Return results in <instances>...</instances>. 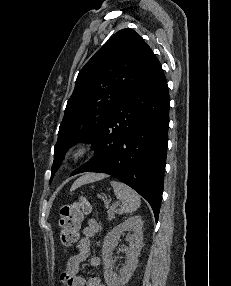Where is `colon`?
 <instances>
[{"label": "colon", "instance_id": "1", "mask_svg": "<svg viewBox=\"0 0 231 286\" xmlns=\"http://www.w3.org/2000/svg\"><path fill=\"white\" fill-rule=\"evenodd\" d=\"M89 211L90 204L84 197L61 208L59 238L65 248L72 247L78 241L80 224Z\"/></svg>", "mask_w": 231, "mask_h": 286}]
</instances>
